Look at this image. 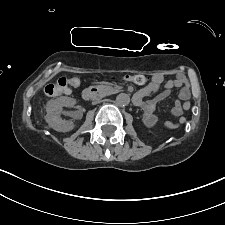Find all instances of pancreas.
<instances>
[{
	"label": "pancreas",
	"mask_w": 225,
	"mask_h": 225,
	"mask_svg": "<svg viewBox=\"0 0 225 225\" xmlns=\"http://www.w3.org/2000/svg\"><path fill=\"white\" fill-rule=\"evenodd\" d=\"M100 91L104 94V95H110L116 91H118V87L113 88L110 85H101L99 86Z\"/></svg>",
	"instance_id": "pancreas-1"
}]
</instances>
